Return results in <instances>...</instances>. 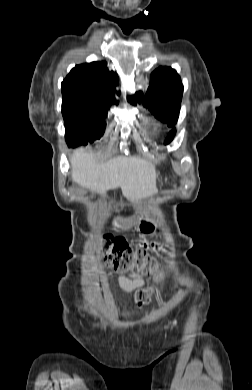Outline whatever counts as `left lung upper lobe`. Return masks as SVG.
<instances>
[{
    "label": "left lung upper lobe",
    "mask_w": 252,
    "mask_h": 390,
    "mask_svg": "<svg viewBox=\"0 0 252 390\" xmlns=\"http://www.w3.org/2000/svg\"><path fill=\"white\" fill-rule=\"evenodd\" d=\"M182 93L183 85L177 72L170 67H159L151 74L146 95L136 92L129 101L134 104L142 102L157 119L171 127L179 117ZM174 135L175 130H172L165 143L171 142Z\"/></svg>",
    "instance_id": "obj_1"
}]
</instances>
